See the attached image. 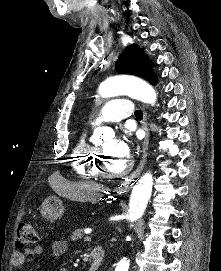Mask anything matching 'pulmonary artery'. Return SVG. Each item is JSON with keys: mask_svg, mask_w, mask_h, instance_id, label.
Listing matches in <instances>:
<instances>
[{"mask_svg": "<svg viewBox=\"0 0 221 271\" xmlns=\"http://www.w3.org/2000/svg\"><path fill=\"white\" fill-rule=\"evenodd\" d=\"M106 106L99 113L103 122H125V117H131L130 103L126 98H114V102H107ZM103 122H89V127H103ZM89 136L92 138L94 135L91 133Z\"/></svg>", "mask_w": 221, "mask_h": 271, "instance_id": "obj_1", "label": "pulmonary artery"}]
</instances>
